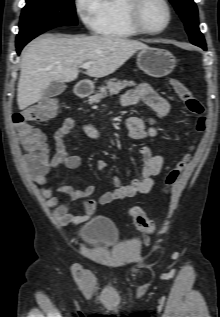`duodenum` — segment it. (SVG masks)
<instances>
[{"label":"duodenum","mask_w":220,"mask_h":317,"mask_svg":"<svg viewBox=\"0 0 220 317\" xmlns=\"http://www.w3.org/2000/svg\"><path fill=\"white\" fill-rule=\"evenodd\" d=\"M74 91L77 97H86L90 93L91 87L86 83L80 82L75 86Z\"/></svg>","instance_id":"410a0bca"}]
</instances>
